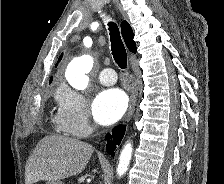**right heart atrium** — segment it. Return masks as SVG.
<instances>
[{
	"instance_id": "1",
	"label": "right heart atrium",
	"mask_w": 224,
	"mask_h": 184,
	"mask_svg": "<svg viewBox=\"0 0 224 184\" xmlns=\"http://www.w3.org/2000/svg\"><path fill=\"white\" fill-rule=\"evenodd\" d=\"M59 115L66 131L83 137L91 129L90 107L86 97L79 91L64 88L58 94Z\"/></svg>"
}]
</instances>
